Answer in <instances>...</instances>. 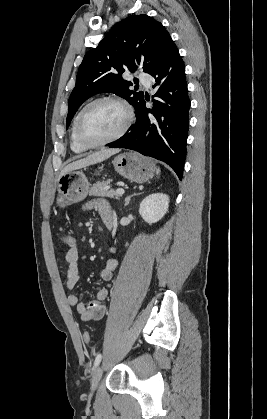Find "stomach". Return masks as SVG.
<instances>
[{"instance_id":"stomach-1","label":"stomach","mask_w":267,"mask_h":419,"mask_svg":"<svg viewBox=\"0 0 267 419\" xmlns=\"http://www.w3.org/2000/svg\"><path fill=\"white\" fill-rule=\"evenodd\" d=\"M113 165L117 173L137 183L149 180L155 172V164L151 159L132 152L116 156ZM57 190L56 205L66 208L86 198L89 182L82 171L72 170L59 177Z\"/></svg>"}]
</instances>
